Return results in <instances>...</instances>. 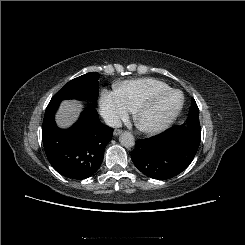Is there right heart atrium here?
Wrapping results in <instances>:
<instances>
[{
	"instance_id": "1",
	"label": "right heart atrium",
	"mask_w": 245,
	"mask_h": 245,
	"mask_svg": "<svg viewBox=\"0 0 245 245\" xmlns=\"http://www.w3.org/2000/svg\"><path fill=\"white\" fill-rule=\"evenodd\" d=\"M99 108L110 125H117L121 120L126 119L131 110L115 90L107 89L101 92Z\"/></svg>"
}]
</instances>
